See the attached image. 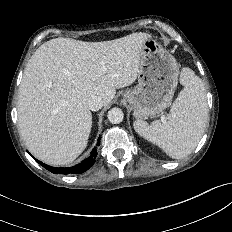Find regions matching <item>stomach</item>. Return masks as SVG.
Here are the masks:
<instances>
[{
	"instance_id": "1",
	"label": "stomach",
	"mask_w": 232,
	"mask_h": 232,
	"mask_svg": "<svg viewBox=\"0 0 232 232\" xmlns=\"http://www.w3.org/2000/svg\"><path fill=\"white\" fill-rule=\"evenodd\" d=\"M178 75L174 56L155 39H147L140 54L138 84L123 93V99L133 108V116L146 119L166 109L174 96Z\"/></svg>"
}]
</instances>
